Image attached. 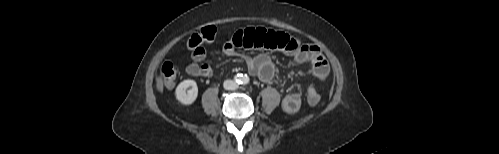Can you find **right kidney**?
<instances>
[{
  "mask_svg": "<svg viewBox=\"0 0 499 154\" xmlns=\"http://www.w3.org/2000/svg\"><path fill=\"white\" fill-rule=\"evenodd\" d=\"M198 96V87L194 80L187 79L179 83L175 91L176 99L183 105H191Z\"/></svg>",
  "mask_w": 499,
  "mask_h": 154,
  "instance_id": "1",
  "label": "right kidney"
}]
</instances>
